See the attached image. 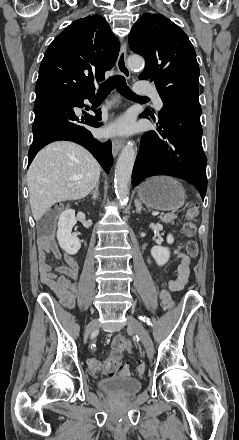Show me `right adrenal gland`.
<instances>
[{"label": "right adrenal gland", "mask_w": 239, "mask_h": 440, "mask_svg": "<svg viewBox=\"0 0 239 440\" xmlns=\"http://www.w3.org/2000/svg\"><path fill=\"white\" fill-rule=\"evenodd\" d=\"M92 196H93V200H96V198H98V196H99V182H98L97 186H95V190H93Z\"/></svg>", "instance_id": "2a0ac1e0"}]
</instances>
